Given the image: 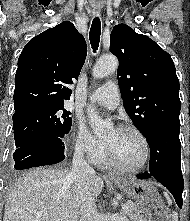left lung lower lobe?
I'll use <instances>...</instances> for the list:
<instances>
[{
  "label": "left lung lower lobe",
  "instance_id": "left-lung-lower-lobe-1",
  "mask_svg": "<svg viewBox=\"0 0 190 221\" xmlns=\"http://www.w3.org/2000/svg\"><path fill=\"white\" fill-rule=\"evenodd\" d=\"M179 132V126L163 125L146 136L151 152L149 172L140 174L137 178H155L172 193L177 205L182 208L183 177Z\"/></svg>",
  "mask_w": 190,
  "mask_h": 221
}]
</instances>
